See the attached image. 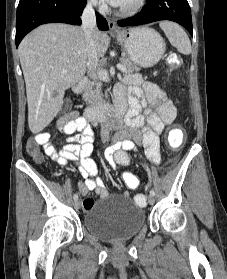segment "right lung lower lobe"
Returning <instances> with one entry per match:
<instances>
[{
  "label": "right lung lower lobe",
  "instance_id": "1",
  "mask_svg": "<svg viewBox=\"0 0 227 279\" xmlns=\"http://www.w3.org/2000/svg\"><path fill=\"white\" fill-rule=\"evenodd\" d=\"M86 0H20L16 19V46L24 36L41 24L61 22L80 25ZM97 26L108 30L104 17L96 13Z\"/></svg>",
  "mask_w": 227,
  "mask_h": 279
}]
</instances>
